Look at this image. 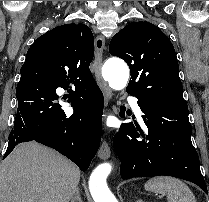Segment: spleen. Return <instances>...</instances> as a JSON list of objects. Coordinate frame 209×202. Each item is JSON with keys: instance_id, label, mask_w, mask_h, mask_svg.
<instances>
[{"instance_id": "obj_1", "label": "spleen", "mask_w": 209, "mask_h": 202, "mask_svg": "<svg viewBox=\"0 0 209 202\" xmlns=\"http://www.w3.org/2000/svg\"><path fill=\"white\" fill-rule=\"evenodd\" d=\"M144 187L150 192L166 194L168 202H196L189 187L173 177H153L145 183Z\"/></svg>"}]
</instances>
